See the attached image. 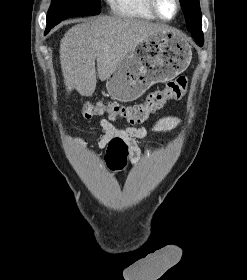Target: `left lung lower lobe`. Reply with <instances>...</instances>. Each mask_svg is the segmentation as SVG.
Returning <instances> with one entry per match:
<instances>
[{
  "mask_svg": "<svg viewBox=\"0 0 247 280\" xmlns=\"http://www.w3.org/2000/svg\"><path fill=\"white\" fill-rule=\"evenodd\" d=\"M192 35H193V37L196 39V44L198 45V46H202L203 45V43H204V38H203V36H200V35H196L195 33H191Z\"/></svg>",
  "mask_w": 247,
  "mask_h": 280,
  "instance_id": "obj_1",
  "label": "left lung lower lobe"
}]
</instances>
